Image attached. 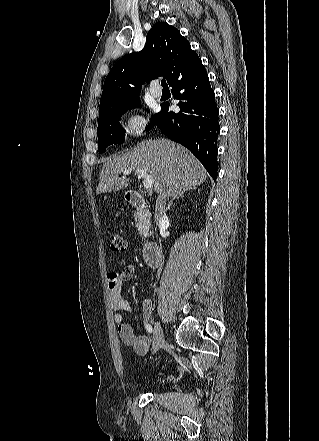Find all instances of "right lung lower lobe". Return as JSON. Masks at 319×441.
<instances>
[{
	"label": "right lung lower lobe",
	"mask_w": 319,
	"mask_h": 441,
	"mask_svg": "<svg viewBox=\"0 0 319 441\" xmlns=\"http://www.w3.org/2000/svg\"><path fill=\"white\" fill-rule=\"evenodd\" d=\"M170 86L174 98L180 100L181 112H169V104L163 103L155 124L168 138L188 148L216 180L219 110L201 60Z\"/></svg>",
	"instance_id": "1"
}]
</instances>
